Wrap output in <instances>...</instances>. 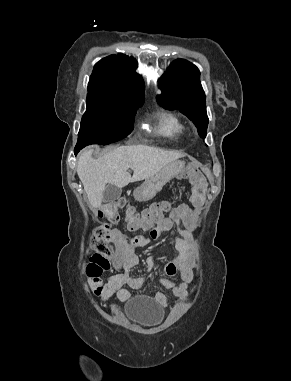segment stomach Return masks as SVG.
I'll return each instance as SVG.
<instances>
[{"label": "stomach", "mask_w": 291, "mask_h": 381, "mask_svg": "<svg viewBox=\"0 0 291 381\" xmlns=\"http://www.w3.org/2000/svg\"><path fill=\"white\" fill-rule=\"evenodd\" d=\"M185 165V162L180 160H175L166 165L134 190L133 195L135 199L137 201H148L154 198L168 181L184 171Z\"/></svg>", "instance_id": "1"}]
</instances>
